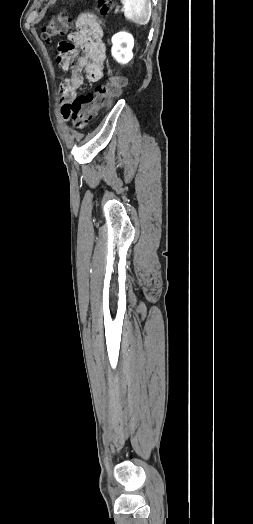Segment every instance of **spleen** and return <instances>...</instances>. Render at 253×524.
Masks as SVG:
<instances>
[{
    "instance_id": "3e777b00",
    "label": "spleen",
    "mask_w": 253,
    "mask_h": 524,
    "mask_svg": "<svg viewBox=\"0 0 253 524\" xmlns=\"http://www.w3.org/2000/svg\"><path fill=\"white\" fill-rule=\"evenodd\" d=\"M125 6L124 15L137 25H146L151 17L149 0H121Z\"/></svg>"
}]
</instances>
